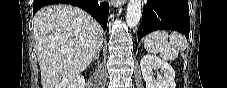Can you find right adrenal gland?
<instances>
[{
	"label": "right adrenal gland",
	"mask_w": 227,
	"mask_h": 88,
	"mask_svg": "<svg viewBox=\"0 0 227 88\" xmlns=\"http://www.w3.org/2000/svg\"><path fill=\"white\" fill-rule=\"evenodd\" d=\"M99 55H100V50L97 51L96 55L93 57V61L94 60H98L99 59Z\"/></svg>",
	"instance_id": "1"
}]
</instances>
